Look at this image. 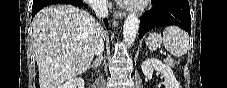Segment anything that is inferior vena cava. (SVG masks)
Segmentation results:
<instances>
[{
  "mask_svg": "<svg viewBox=\"0 0 227 88\" xmlns=\"http://www.w3.org/2000/svg\"><path fill=\"white\" fill-rule=\"evenodd\" d=\"M91 7L95 11V14L99 19H103L108 17V9L106 0H98L92 3ZM104 51V42L102 37L99 40V43L95 49V54L97 56H102V52Z\"/></svg>",
  "mask_w": 227,
  "mask_h": 88,
  "instance_id": "inferior-vena-cava-1",
  "label": "inferior vena cava"
}]
</instances>
